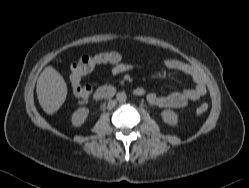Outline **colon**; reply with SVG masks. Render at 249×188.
<instances>
[{
    "instance_id": "5ec220e1",
    "label": "colon",
    "mask_w": 249,
    "mask_h": 188,
    "mask_svg": "<svg viewBox=\"0 0 249 188\" xmlns=\"http://www.w3.org/2000/svg\"><path fill=\"white\" fill-rule=\"evenodd\" d=\"M120 60V55L117 52H104L93 56L84 55L71 65V83L73 93L77 101L84 104L88 101L92 88L89 85L83 84L82 80L96 65L106 63H116ZM208 109L207 103H200L196 108V114L201 116Z\"/></svg>"
}]
</instances>
